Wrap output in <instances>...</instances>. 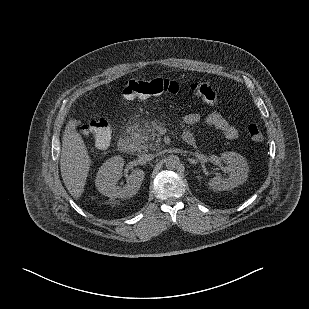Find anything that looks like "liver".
<instances>
[{
	"instance_id": "6515ba94",
	"label": "liver",
	"mask_w": 309,
	"mask_h": 309,
	"mask_svg": "<svg viewBox=\"0 0 309 309\" xmlns=\"http://www.w3.org/2000/svg\"><path fill=\"white\" fill-rule=\"evenodd\" d=\"M79 122L75 119L68 121L62 137L60 169L63 182L74 198L84 192L91 159L81 135L76 128Z\"/></svg>"
}]
</instances>
